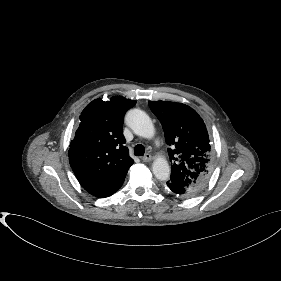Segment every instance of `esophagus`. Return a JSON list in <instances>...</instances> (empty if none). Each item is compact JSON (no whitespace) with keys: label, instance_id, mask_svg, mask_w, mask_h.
I'll use <instances>...</instances> for the list:
<instances>
[{"label":"esophagus","instance_id":"obj_1","mask_svg":"<svg viewBox=\"0 0 281 281\" xmlns=\"http://www.w3.org/2000/svg\"><path fill=\"white\" fill-rule=\"evenodd\" d=\"M141 159L143 162H149L152 160V156H151V154L147 153Z\"/></svg>","mask_w":281,"mask_h":281}]
</instances>
